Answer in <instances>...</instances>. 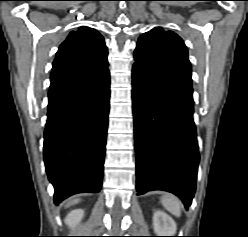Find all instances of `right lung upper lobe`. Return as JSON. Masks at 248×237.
I'll return each mask as SVG.
<instances>
[{"label": "right lung upper lobe", "instance_id": "cb5924a9", "mask_svg": "<svg viewBox=\"0 0 248 237\" xmlns=\"http://www.w3.org/2000/svg\"><path fill=\"white\" fill-rule=\"evenodd\" d=\"M107 47L94 29L82 26L60 45L53 62L51 82L90 75L108 66Z\"/></svg>", "mask_w": 248, "mask_h": 237}]
</instances>
